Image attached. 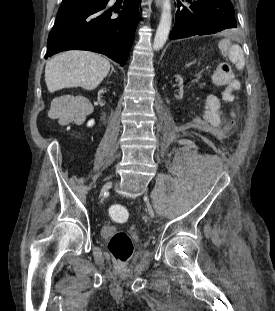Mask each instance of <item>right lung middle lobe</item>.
Masks as SVG:
<instances>
[{
    "mask_svg": "<svg viewBox=\"0 0 275 311\" xmlns=\"http://www.w3.org/2000/svg\"><path fill=\"white\" fill-rule=\"evenodd\" d=\"M102 0H72V1H66V2H62V5L58 11V13H61L65 10H68L70 8H74V7H78V6H82V5H86V4H90V3H99Z\"/></svg>",
    "mask_w": 275,
    "mask_h": 311,
    "instance_id": "right-lung-middle-lobe-1",
    "label": "right lung middle lobe"
}]
</instances>
